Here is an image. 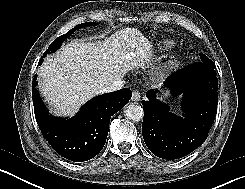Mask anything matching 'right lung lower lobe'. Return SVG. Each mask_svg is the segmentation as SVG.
<instances>
[{"label": "right lung lower lobe", "instance_id": "1", "mask_svg": "<svg viewBox=\"0 0 245 189\" xmlns=\"http://www.w3.org/2000/svg\"><path fill=\"white\" fill-rule=\"evenodd\" d=\"M42 60L39 62V65ZM37 76L32 83L35 118L45 139L62 157L75 161H88L103 148L112 115L131 99V90L124 88L99 95L83 105L70 119L55 118L47 112L38 91Z\"/></svg>", "mask_w": 245, "mask_h": 189}]
</instances>
